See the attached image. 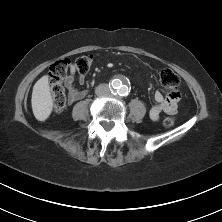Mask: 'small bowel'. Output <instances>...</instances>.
Listing matches in <instances>:
<instances>
[{
    "instance_id": "small-bowel-1",
    "label": "small bowel",
    "mask_w": 222,
    "mask_h": 222,
    "mask_svg": "<svg viewBox=\"0 0 222 222\" xmlns=\"http://www.w3.org/2000/svg\"><path fill=\"white\" fill-rule=\"evenodd\" d=\"M84 83L85 76L82 74L77 76L76 69L71 67L70 73L64 82L70 102H74L85 97L87 91L85 89H79L76 86V84L83 85ZM153 99L155 104L151 107L149 116L153 121H158L162 113L172 114L176 112L177 105H180L183 102L184 96L180 90L174 89L168 93V100L159 91L154 93Z\"/></svg>"
}]
</instances>
